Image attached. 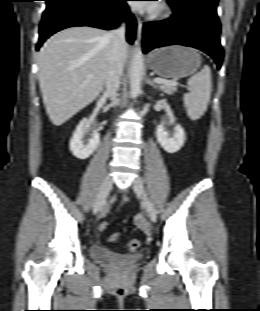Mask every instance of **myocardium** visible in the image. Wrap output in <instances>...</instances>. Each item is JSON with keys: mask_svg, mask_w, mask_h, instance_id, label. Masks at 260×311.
I'll return each mask as SVG.
<instances>
[{"mask_svg": "<svg viewBox=\"0 0 260 311\" xmlns=\"http://www.w3.org/2000/svg\"><path fill=\"white\" fill-rule=\"evenodd\" d=\"M169 14H170L169 8L166 5H163L158 11L159 17H167L169 16Z\"/></svg>", "mask_w": 260, "mask_h": 311, "instance_id": "obj_1", "label": "myocardium"}]
</instances>
